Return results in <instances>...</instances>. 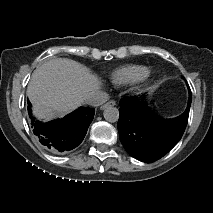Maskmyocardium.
Returning <instances> with one entry per match:
<instances>
[{"mask_svg": "<svg viewBox=\"0 0 213 213\" xmlns=\"http://www.w3.org/2000/svg\"><path fill=\"white\" fill-rule=\"evenodd\" d=\"M150 75H151V72H150L149 69H147V71H146V73L144 74V76H143L142 78H140V79L137 81V83H143V82H145L146 80L149 79Z\"/></svg>", "mask_w": 213, "mask_h": 213, "instance_id": "myocardium-1", "label": "myocardium"}]
</instances>
